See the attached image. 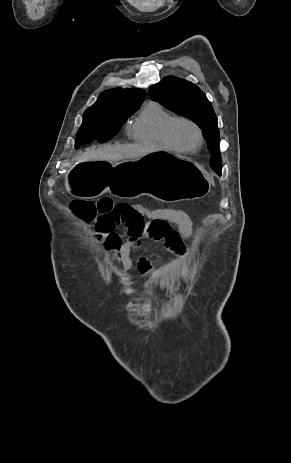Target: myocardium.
Returning a JSON list of instances; mask_svg holds the SVG:
<instances>
[{
	"instance_id": "myocardium-1",
	"label": "myocardium",
	"mask_w": 291,
	"mask_h": 463,
	"mask_svg": "<svg viewBox=\"0 0 291 463\" xmlns=\"http://www.w3.org/2000/svg\"><path fill=\"white\" fill-rule=\"evenodd\" d=\"M179 123H186L195 129L196 134H197V143L194 147L192 148L183 147L176 140L174 136V129L176 125H178ZM166 138L173 148H175L176 150L180 152L187 153V154L195 153L197 150L201 148L204 142V136H203L201 127L194 120L187 118V117H174L167 125Z\"/></svg>"
}]
</instances>
